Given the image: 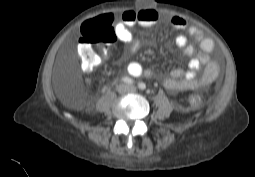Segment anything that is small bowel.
<instances>
[{"mask_svg": "<svg viewBox=\"0 0 255 177\" xmlns=\"http://www.w3.org/2000/svg\"><path fill=\"white\" fill-rule=\"evenodd\" d=\"M110 20V16H107ZM162 20L158 11L152 8H142L140 10H127L122 13L120 20L113 25V31L117 39L125 43L128 47L123 52L122 57L136 53L140 49V41L134 36L131 28L136 25L150 27L158 24ZM170 25L175 30H187L188 34L199 42L200 51L196 56L192 57L195 53V48L189 43L188 38L184 34H180L175 38V45L182 50L183 54L191 57L188 61L187 70L180 68L173 69L167 76H164L163 86L170 92H179L187 90H195L203 85L211 83L218 74L219 65L217 62L210 60V54L214 50V41L205 37L195 25L188 26L187 21L178 16L170 19ZM101 61L100 57H96V64ZM206 65V70L203 76L198 77L197 73L202 66ZM94 66V67H95ZM84 70L88 71L84 68ZM127 71L131 76L140 77L146 75L163 76L162 73L152 70H144L138 62H131L127 66Z\"/></svg>", "mask_w": 255, "mask_h": 177, "instance_id": "small-bowel-1", "label": "small bowel"}]
</instances>
